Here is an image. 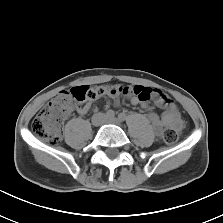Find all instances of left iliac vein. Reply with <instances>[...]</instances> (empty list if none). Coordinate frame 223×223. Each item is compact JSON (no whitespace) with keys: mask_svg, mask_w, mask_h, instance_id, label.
<instances>
[{"mask_svg":"<svg viewBox=\"0 0 223 223\" xmlns=\"http://www.w3.org/2000/svg\"><path fill=\"white\" fill-rule=\"evenodd\" d=\"M104 123L106 124H114V125H117L119 126L121 124V120L115 118V117H112V118H106L104 120Z\"/></svg>","mask_w":223,"mask_h":223,"instance_id":"4c4485c4","label":"left iliac vein"}]
</instances>
